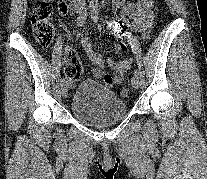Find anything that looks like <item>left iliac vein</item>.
I'll use <instances>...</instances> for the list:
<instances>
[{"mask_svg":"<svg viewBox=\"0 0 207 179\" xmlns=\"http://www.w3.org/2000/svg\"><path fill=\"white\" fill-rule=\"evenodd\" d=\"M131 84H132V87L134 89H138L139 85H140L139 77L138 76H133V78L131 80Z\"/></svg>","mask_w":207,"mask_h":179,"instance_id":"1","label":"left iliac vein"}]
</instances>
